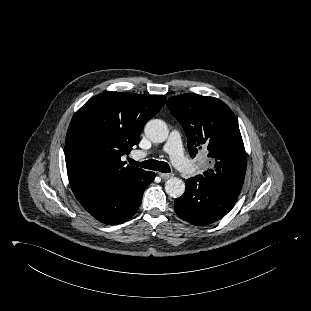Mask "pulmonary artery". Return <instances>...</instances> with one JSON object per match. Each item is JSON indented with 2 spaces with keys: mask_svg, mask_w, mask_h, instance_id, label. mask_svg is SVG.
Returning a JSON list of instances; mask_svg holds the SVG:
<instances>
[{
  "mask_svg": "<svg viewBox=\"0 0 311 311\" xmlns=\"http://www.w3.org/2000/svg\"><path fill=\"white\" fill-rule=\"evenodd\" d=\"M164 151L167 152L173 162V164L182 172L192 174L196 172L197 167L192 164L184 155L182 148L181 134L178 130L171 131L166 144L164 145ZM146 153L140 152L138 157L146 156Z\"/></svg>",
  "mask_w": 311,
  "mask_h": 311,
  "instance_id": "obj_1",
  "label": "pulmonary artery"
}]
</instances>
